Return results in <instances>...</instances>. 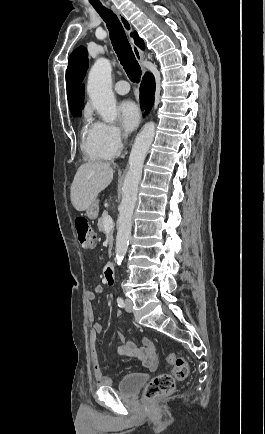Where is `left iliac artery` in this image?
<instances>
[{
  "mask_svg": "<svg viewBox=\"0 0 265 434\" xmlns=\"http://www.w3.org/2000/svg\"><path fill=\"white\" fill-rule=\"evenodd\" d=\"M117 304L121 308H123L125 306L124 300L121 297L117 298Z\"/></svg>",
  "mask_w": 265,
  "mask_h": 434,
  "instance_id": "44dca946",
  "label": "left iliac artery"
}]
</instances>
